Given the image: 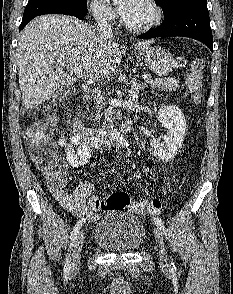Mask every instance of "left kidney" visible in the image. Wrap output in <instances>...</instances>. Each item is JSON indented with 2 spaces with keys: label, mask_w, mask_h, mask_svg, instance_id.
Here are the masks:
<instances>
[{
  "label": "left kidney",
  "mask_w": 233,
  "mask_h": 294,
  "mask_svg": "<svg viewBox=\"0 0 233 294\" xmlns=\"http://www.w3.org/2000/svg\"><path fill=\"white\" fill-rule=\"evenodd\" d=\"M158 114L162 127L166 129V135L162 136L163 141L152 139L150 146L156 157L169 161L177 155L183 143L186 120L182 111L175 105H163Z\"/></svg>",
  "instance_id": "1"
}]
</instances>
